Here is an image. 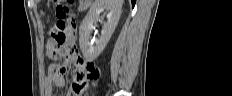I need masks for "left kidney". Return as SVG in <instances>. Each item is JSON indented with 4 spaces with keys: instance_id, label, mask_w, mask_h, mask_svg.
Here are the masks:
<instances>
[{
    "instance_id": "5707ae66",
    "label": "left kidney",
    "mask_w": 232,
    "mask_h": 96,
    "mask_svg": "<svg viewBox=\"0 0 232 96\" xmlns=\"http://www.w3.org/2000/svg\"><path fill=\"white\" fill-rule=\"evenodd\" d=\"M123 0H96L79 28V44L83 56L87 60L96 59L103 51L110 40L121 15ZM109 11L108 21L103 23L101 36L95 41V45L90 42V33L93 23L99 20L100 13Z\"/></svg>"
}]
</instances>
